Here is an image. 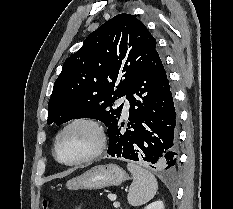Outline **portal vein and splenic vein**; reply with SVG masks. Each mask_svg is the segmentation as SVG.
I'll list each match as a JSON object with an SVG mask.
<instances>
[{"label":"portal vein and splenic vein","instance_id":"portal-vein-and-splenic-vein-1","mask_svg":"<svg viewBox=\"0 0 233 209\" xmlns=\"http://www.w3.org/2000/svg\"><path fill=\"white\" fill-rule=\"evenodd\" d=\"M108 198L111 200V201H115L116 200V195L115 194H108ZM114 206L115 207H119L120 206V203L119 202H114Z\"/></svg>","mask_w":233,"mask_h":209}]
</instances>
